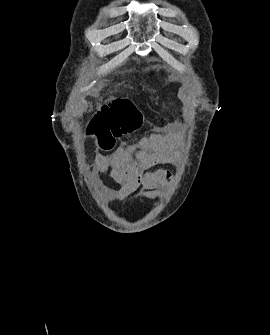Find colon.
<instances>
[{
  "label": "colon",
  "instance_id": "obj_1",
  "mask_svg": "<svg viewBox=\"0 0 270 335\" xmlns=\"http://www.w3.org/2000/svg\"><path fill=\"white\" fill-rule=\"evenodd\" d=\"M111 108L96 110L95 116H90V123H96L97 134L121 136L140 128L143 115L133 101L126 99L111 101ZM101 147L113 148L114 142L102 141Z\"/></svg>",
  "mask_w": 270,
  "mask_h": 335
}]
</instances>
